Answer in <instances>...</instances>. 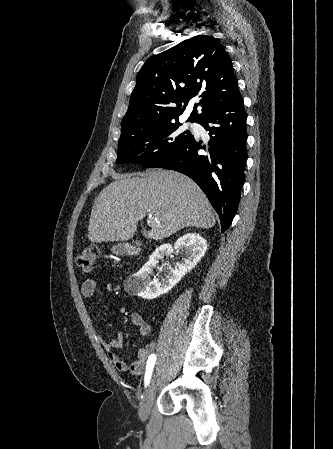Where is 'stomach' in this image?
Masks as SVG:
<instances>
[{"label": "stomach", "instance_id": "1", "mask_svg": "<svg viewBox=\"0 0 333 449\" xmlns=\"http://www.w3.org/2000/svg\"><path fill=\"white\" fill-rule=\"evenodd\" d=\"M112 251H113V253L119 254V253H121V251H122V247H120V246H114V247L112 248Z\"/></svg>", "mask_w": 333, "mask_h": 449}]
</instances>
